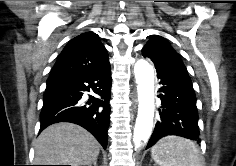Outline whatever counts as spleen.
Wrapping results in <instances>:
<instances>
[{"mask_svg":"<svg viewBox=\"0 0 236 166\" xmlns=\"http://www.w3.org/2000/svg\"><path fill=\"white\" fill-rule=\"evenodd\" d=\"M151 153L159 166H201L195 144L181 137H164L153 146Z\"/></svg>","mask_w":236,"mask_h":166,"instance_id":"3e777b00","label":"spleen"}]
</instances>
